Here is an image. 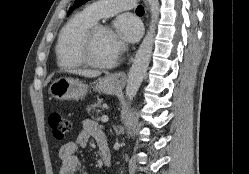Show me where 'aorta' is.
<instances>
[{
  "instance_id": "762f6f07",
  "label": "aorta",
  "mask_w": 249,
  "mask_h": 174,
  "mask_svg": "<svg viewBox=\"0 0 249 174\" xmlns=\"http://www.w3.org/2000/svg\"><path fill=\"white\" fill-rule=\"evenodd\" d=\"M147 1L151 13V22L146 36L144 37L142 43L136 51L132 66L128 73L126 97L130 101L136 96L147 72L154 45L156 24L159 19V1Z\"/></svg>"
}]
</instances>
